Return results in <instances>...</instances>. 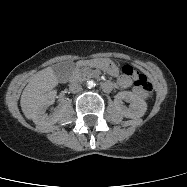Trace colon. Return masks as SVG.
<instances>
[{"instance_id":"colon-1","label":"colon","mask_w":187,"mask_h":187,"mask_svg":"<svg viewBox=\"0 0 187 187\" xmlns=\"http://www.w3.org/2000/svg\"><path fill=\"white\" fill-rule=\"evenodd\" d=\"M123 74L134 81V84L141 95L148 96L153 92L152 82L144 74L136 71L131 66H124Z\"/></svg>"}]
</instances>
